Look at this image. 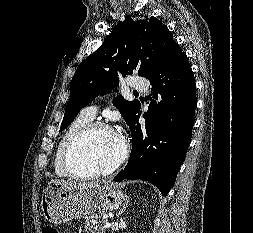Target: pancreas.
Segmentation results:
<instances>
[{"mask_svg":"<svg viewBox=\"0 0 253 233\" xmlns=\"http://www.w3.org/2000/svg\"><path fill=\"white\" fill-rule=\"evenodd\" d=\"M106 220H104L101 224L96 221H86L84 231L87 233H104L105 232V224Z\"/></svg>","mask_w":253,"mask_h":233,"instance_id":"pancreas-1","label":"pancreas"}]
</instances>
